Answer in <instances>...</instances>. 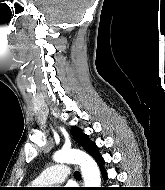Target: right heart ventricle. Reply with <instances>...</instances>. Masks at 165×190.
Instances as JSON below:
<instances>
[{
    "mask_svg": "<svg viewBox=\"0 0 165 190\" xmlns=\"http://www.w3.org/2000/svg\"><path fill=\"white\" fill-rule=\"evenodd\" d=\"M36 184L35 183H32V186H35Z\"/></svg>",
    "mask_w": 165,
    "mask_h": 190,
    "instance_id": "right-heart-ventricle-1",
    "label": "right heart ventricle"
}]
</instances>
